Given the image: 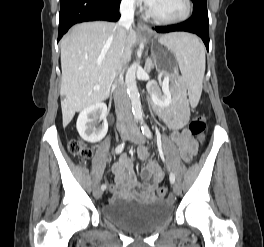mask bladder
Wrapping results in <instances>:
<instances>
[{"label": "bladder", "mask_w": 264, "mask_h": 247, "mask_svg": "<svg viewBox=\"0 0 264 247\" xmlns=\"http://www.w3.org/2000/svg\"><path fill=\"white\" fill-rule=\"evenodd\" d=\"M172 211V205L163 200H122L106 204L101 216L125 231L143 233L161 227L172 217Z\"/></svg>", "instance_id": "bladder-1"}]
</instances>
